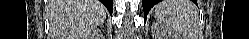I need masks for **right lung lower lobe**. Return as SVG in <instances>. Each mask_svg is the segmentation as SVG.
Here are the masks:
<instances>
[{"instance_id": "98d812e1", "label": "right lung lower lobe", "mask_w": 249, "mask_h": 39, "mask_svg": "<svg viewBox=\"0 0 249 39\" xmlns=\"http://www.w3.org/2000/svg\"><path fill=\"white\" fill-rule=\"evenodd\" d=\"M100 1L105 5L109 13L112 15L113 0H100Z\"/></svg>"}]
</instances>
